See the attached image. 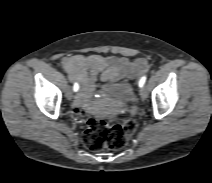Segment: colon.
Instances as JSON below:
<instances>
[{"mask_svg": "<svg viewBox=\"0 0 212 183\" xmlns=\"http://www.w3.org/2000/svg\"><path fill=\"white\" fill-rule=\"evenodd\" d=\"M87 128L83 135L84 145L92 151L105 148L121 149L137 128L134 118H127L122 123L109 125L102 118H88L85 120Z\"/></svg>", "mask_w": 212, "mask_h": 183, "instance_id": "colon-1", "label": "colon"}]
</instances>
